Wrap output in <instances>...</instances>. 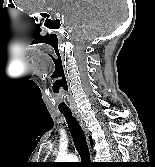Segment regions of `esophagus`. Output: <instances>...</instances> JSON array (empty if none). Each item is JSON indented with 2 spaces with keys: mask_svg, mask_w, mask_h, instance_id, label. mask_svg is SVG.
<instances>
[{
  "mask_svg": "<svg viewBox=\"0 0 155 167\" xmlns=\"http://www.w3.org/2000/svg\"><path fill=\"white\" fill-rule=\"evenodd\" d=\"M74 114H75L76 118L78 119V121L81 123L83 129L85 130L84 124H83L82 119H81L80 115L78 114V112H74Z\"/></svg>",
  "mask_w": 155,
  "mask_h": 167,
  "instance_id": "1",
  "label": "esophagus"
}]
</instances>
